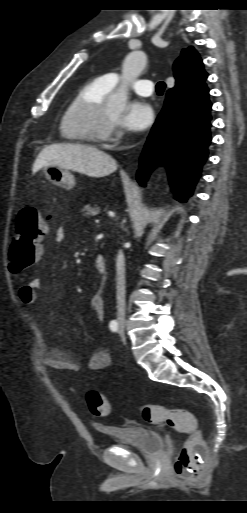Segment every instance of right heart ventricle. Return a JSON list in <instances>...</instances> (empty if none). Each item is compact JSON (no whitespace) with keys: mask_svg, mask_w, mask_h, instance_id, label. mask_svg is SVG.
<instances>
[{"mask_svg":"<svg viewBox=\"0 0 247 513\" xmlns=\"http://www.w3.org/2000/svg\"><path fill=\"white\" fill-rule=\"evenodd\" d=\"M111 88L104 85L98 78L84 83L69 101L60 119V134L69 142L85 143L89 139L72 131L69 124L72 118L84 108L104 101Z\"/></svg>","mask_w":247,"mask_h":513,"instance_id":"e07e8e85","label":"right heart ventricle"}]
</instances>
